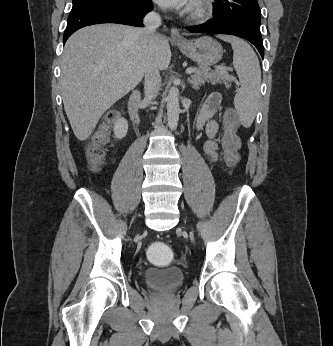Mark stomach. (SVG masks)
<instances>
[{
    "mask_svg": "<svg viewBox=\"0 0 333 346\" xmlns=\"http://www.w3.org/2000/svg\"><path fill=\"white\" fill-rule=\"evenodd\" d=\"M180 51L203 67L218 63L223 56L222 46L211 37H201L177 43Z\"/></svg>",
    "mask_w": 333,
    "mask_h": 346,
    "instance_id": "1",
    "label": "stomach"
}]
</instances>
